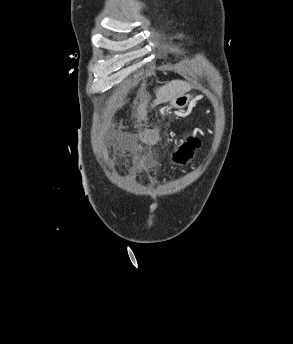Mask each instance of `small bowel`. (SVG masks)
<instances>
[{
    "instance_id": "small-bowel-1",
    "label": "small bowel",
    "mask_w": 293,
    "mask_h": 344,
    "mask_svg": "<svg viewBox=\"0 0 293 344\" xmlns=\"http://www.w3.org/2000/svg\"><path fill=\"white\" fill-rule=\"evenodd\" d=\"M158 140L159 135L157 130L148 128L139 135H130L124 144L125 147L131 151L139 149L150 151L157 145Z\"/></svg>"
}]
</instances>
